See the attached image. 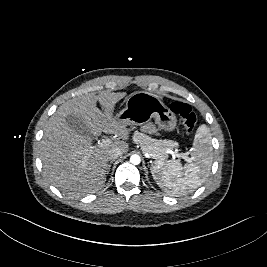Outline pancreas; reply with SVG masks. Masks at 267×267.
Segmentation results:
<instances>
[{
    "label": "pancreas",
    "mask_w": 267,
    "mask_h": 267,
    "mask_svg": "<svg viewBox=\"0 0 267 267\" xmlns=\"http://www.w3.org/2000/svg\"><path fill=\"white\" fill-rule=\"evenodd\" d=\"M133 142L139 144L144 153L154 156L155 159L166 158L167 150L177 146L174 141L154 139L137 131L133 135Z\"/></svg>",
    "instance_id": "pancreas-1"
}]
</instances>
